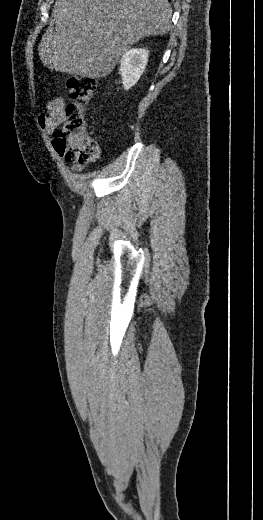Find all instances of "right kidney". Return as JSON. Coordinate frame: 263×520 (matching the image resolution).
<instances>
[{"label":"right kidney","mask_w":263,"mask_h":520,"mask_svg":"<svg viewBox=\"0 0 263 520\" xmlns=\"http://www.w3.org/2000/svg\"><path fill=\"white\" fill-rule=\"evenodd\" d=\"M149 51L147 49H130L126 51L120 61V74L124 89L134 86L143 74L148 62Z\"/></svg>","instance_id":"1"}]
</instances>
